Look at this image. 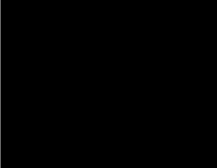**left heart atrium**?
Returning <instances> with one entry per match:
<instances>
[{
  "label": "left heart atrium",
  "instance_id": "obj_1",
  "mask_svg": "<svg viewBox=\"0 0 217 168\" xmlns=\"http://www.w3.org/2000/svg\"><path fill=\"white\" fill-rule=\"evenodd\" d=\"M117 76H106L102 79V85L109 86L117 82Z\"/></svg>",
  "mask_w": 217,
  "mask_h": 168
}]
</instances>
